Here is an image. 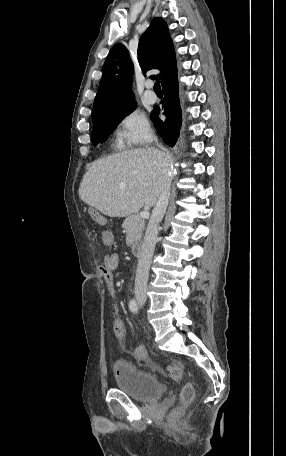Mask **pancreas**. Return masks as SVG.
Listing matches in <instances>:
<instances>
[{"mask_svg": "<svg viewBox=\"0 0 286 456\" xmlns=\"http://www.w3.org/2000/svg\"><path fill=\"white\" fill-rule=\"evenodd\" d=\"M145 227V221L138 215L128 216L122 223V228L126 231L127 246L140 242Z\"/></svg>", "mask_w": 286, "mask_h": 456, "instance_id": "pancreas-1", "label": "pancreas"}]
</instances>
